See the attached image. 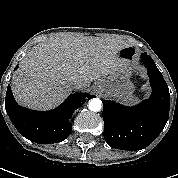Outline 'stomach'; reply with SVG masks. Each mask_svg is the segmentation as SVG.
<instances>
[{
	"mask_svg": "<svg viewBox=\"0 0 178 178\" xmlns=\"http://www.w3.org/2000/svg\"><path fill=\"white\" fill-rule=\"evenodd\" d=\"M131 58L132 54H130L129 48L125 47L120 50L116 58L118 69L98 80L97 85L106 96L123 100L131 98L134 85L127 74L123 72L122 67L124 64H128Z\"/></svg>",
	"mask_w": 178,
	"mask_h": 178,
	"instance_id": "0dacf381",
	"label": "stomach"
}]
</instances>
